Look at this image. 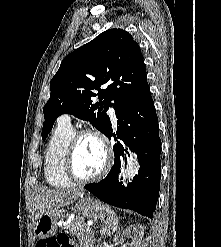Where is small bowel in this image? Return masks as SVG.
I'll list each match as a JSON object with an SVG mask.
<instances>
[{
  "mask_svg": "<svg viewBox=\"0 0 221 247\" xmlns=\"http://www.w3.org/2000/svg\"><path fill=\"white\" fill-rule=\"evenodd\" d=\"M44 242H45V240H39V241L37 242V244H36V247H39V244H40V243H44ZM66 247H76V246L71 245V244H68Z\"/></svg>",
  "mask_w": 221,
  "mask_h": 247,
  "instance_id": "1",
  "label": "small bowel"
}]
</instances>
